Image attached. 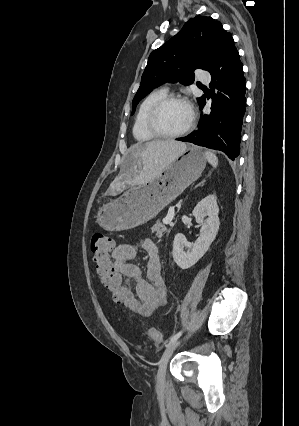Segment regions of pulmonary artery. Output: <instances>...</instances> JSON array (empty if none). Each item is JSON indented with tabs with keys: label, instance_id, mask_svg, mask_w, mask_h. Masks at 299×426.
Wrapping results in <instances>:
<instances>
[{
	"label": "pulmonary artery",
	"instance_id": "pulmonary-artery-1",
	"mask_svg": "<svg viewBox=\"0 0 299 426\" xmlns=\"http://www.w3.org/2000/svg\"><path fill=\"white\" fill-rule=\"evenodd\" d=\"M199 80L202 82H209L210 76L208 74H202L200 75Z\"/></svg>",
	"mask_w": 299,
	"mask_h": 426
}]
</instances>
